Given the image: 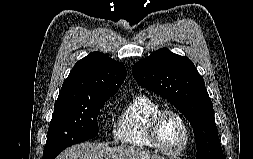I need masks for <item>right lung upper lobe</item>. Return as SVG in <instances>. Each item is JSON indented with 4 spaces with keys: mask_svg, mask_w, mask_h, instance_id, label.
Masks as SVG:
<instances>
[{
    "mask_svg": "<svg viewBox=\"0 0 253 159\" xmlns=\"http://www.w3.org/2000/svg\"><path fill=\"white\" fill-rule=\"evenodd\" d=\"M126 78L125 66L101 52L79 60L62 84L58 99L78 96H112Z\"/></svg>",
    "mask_w": 253,
    "mask_h": 159,
    "instance_id": "cb5924a9",
    "label": "right lung upper lobe"
}]
</instances>
